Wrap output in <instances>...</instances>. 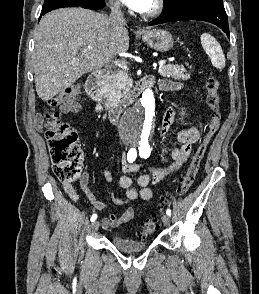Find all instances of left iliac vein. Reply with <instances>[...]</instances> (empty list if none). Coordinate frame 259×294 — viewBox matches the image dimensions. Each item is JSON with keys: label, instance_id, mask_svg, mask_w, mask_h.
<instances>
[{"label": "left iliac vein", "instance_id": "left-iliac-vein-1", "mask_svg": "<svg viewBox=\"0 0 259 294\" xmlns=\"http://www.w3.org/2000/svg\"><path fill=\"white\" fill-rule=\"evenodd\" d=\"M162 222L165 226H169L170 225V217L166 214H164L162 216Z\"/></svg>", "mask_w": 259, "mask_h": 294}]
</instances>
